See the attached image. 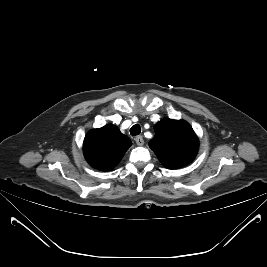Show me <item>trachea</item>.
Masks as SVG:
<instances>
[{"mask_svg":"<svg viewBox=\"0 0 267 267\" xmlns=\"http://www.w3.org/2000/svg\"><path fill=\"white\" fill-rule=\"evenodd\" d=\"M141 133V127L138 124L133 125L130 128V134L133 136L139 135Z\"/></svg>","mask_w":267,"mask_h":267,"instance_id":"obj_1","label":"trachea"}]
</instances>
